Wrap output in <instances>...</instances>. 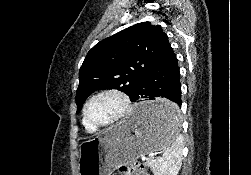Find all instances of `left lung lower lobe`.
Instances as JSON below:
<instances>
[{
	"mask_svg": "<svg viewBox=\"0 0 251 175\" xmlns=\"http://www.w3.org/2000/svg\"><path fill=\"white\" fill-rule=\"evenodd\" d=\"M160 97L175 104H164L143 108L138 118L144 122L170 123L179 118L181 107L180 71L176 55L168 42L158 59L144 74L136 86L132 102L139 99Z\"/></svg>",
	"mask_w": 251,
	"mask_h": 175,
	"instance_id": "obj_1",
	"label": "left lung lower lobe"
}]
</instances>
